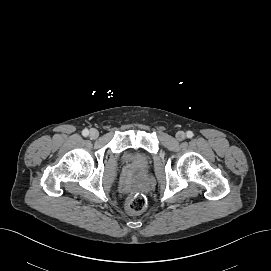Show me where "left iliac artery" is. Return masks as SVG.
Wrapping results in <instances>:
<instances>
[{"instance_id": "1", "label": "left iliac artery", "mask_w": 271, "mask_h": 271, "mask_svg": "<svg viewBox=\"0 0 271 271\" xmlns=\"http://www.w3.org/2000/svg\"><path fill=\"white\" fill-rule=\"evenodd\" d=\"M186 135L188 138H192L194 134L192 131H187Z\"/></svg>"}]
</instances>
